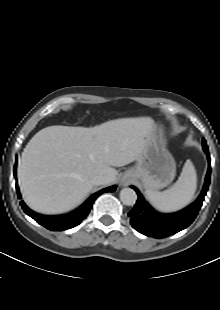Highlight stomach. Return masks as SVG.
Listing matches in <instances>:
<instances>
[{"label":"stomach","mask_w":220,"mask_h":310,"mask_svg":"<svg viewBox=\"0 0 220 310\" xmlns=\"http://www.w3.org/2000/svg\"><path fill=\"white\" fill-rule=\"evenodd\" d=\"M175 170V161L166 149L163 127L155 124L146 150L137 159L135 166L125 172V176L129 174L134 180L141 181L147 190L158 191L173 181Z\"/></svg>","instance_id":"0dacf381"}]
</instances>
